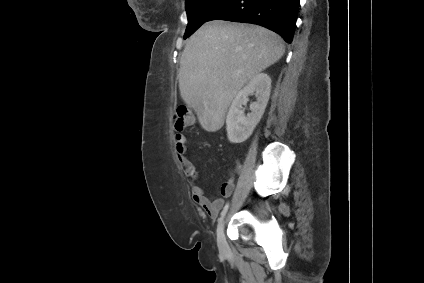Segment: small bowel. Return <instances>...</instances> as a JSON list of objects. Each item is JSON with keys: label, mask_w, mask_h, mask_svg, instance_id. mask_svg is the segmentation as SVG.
Instances as JSON below:
<instances>
[{"label": "small bowel", "mask_w": 424, "mask_h": 283, "mask_svg": "<svg viewBox=\"0 0 424 283\" xmlns=\"http://www.w3.org/2000/svg\"><path fill=\"white\" fill-rule=\"evenodd\" d=\"M176 149L175 153L179 162L183 165L184 173L190 178L191 193L194 202L202 208L211 218H216L224 205V199L231 195L234 189V178L241 171V165L237 161L235 167L229 171V180L221 186L222 197L206 196L202 187L197 184L199 177L196 167L188 160L186 156V138L182 134H176L174 137Z\"/></svg>", "instance_id": "small-bowel-1"}]
</instances>
